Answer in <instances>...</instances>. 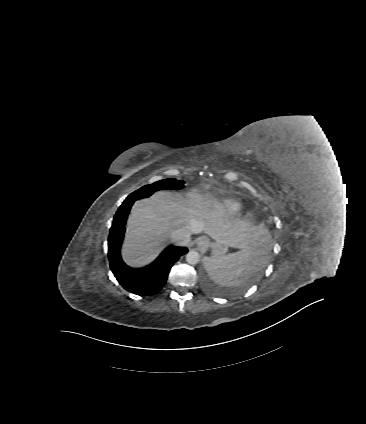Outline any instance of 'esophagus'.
<instances>
[{"label": "esophagus", "instance_id": "obj_1", "mask_svg": "<svg viewBox=\"0 0 366 424\" xmlns=\"http://www.w3.org/2000/svg\"><path fill=\"white\" fill-rule=\"evenodd\" d=\"M197 246L198 249L201 251H205L208 247H209V241L207 238L205 237H201L198 241H197Z\"/></svg>", "mask_w": 366, "mask_h": 424}]
</instances>
